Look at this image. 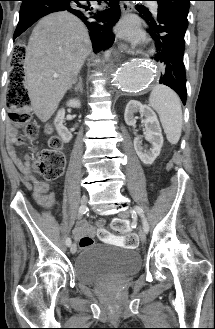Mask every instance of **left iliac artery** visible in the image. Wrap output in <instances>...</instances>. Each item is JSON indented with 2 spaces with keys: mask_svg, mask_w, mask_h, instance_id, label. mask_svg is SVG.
Masks as SVG:
<instances>
[{
  "mask_svg": "<svg viewBox=\"0 0 215 329\" xmlns=\"http://www.w3.org/2000/svg\"><path fill=\"white\" fill-rule=\"evenodd\" d=\"M133 212L139 214V216L142 219L143 229H144V231L146 233H148V231H149V224H148V221H147V219H146V217L144 215L143 209L141 207H139V206H135Z\"/></svg>",
  "mask_w": 215,
  "mask_h": 329,
  "instance_id": "1",
  "label": "left iliac artery"
}]
</instances>
